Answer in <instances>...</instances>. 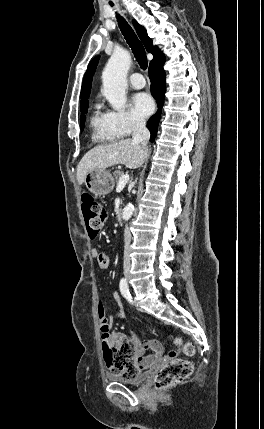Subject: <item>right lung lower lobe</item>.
Masks as SVG:
<instances>
[{"instance_id": "obj_1", "label": "right lung lower lobe", "mask_w": 264, "mask_h": 429, "mask_svg": "<svg viewBox=\"0 0 264 429\" xmlns=\"http://www.w3.org/2000/svg\"><path fill=\"white\" fill-rule=\"evenodd\" d=\"M164 63H165V56L162 53L149 65V77L151 79V93L153 97L156 99L158 104L157 113L153 115L147 123V128L151 132V138H150L151 142L154 141L157 135L158 124L161 117V110L164 104V97H165V91H166V86H165L166 75L163 69Z\"/></svg>"}]
</instances>
